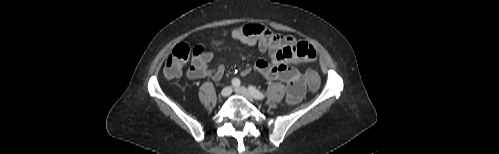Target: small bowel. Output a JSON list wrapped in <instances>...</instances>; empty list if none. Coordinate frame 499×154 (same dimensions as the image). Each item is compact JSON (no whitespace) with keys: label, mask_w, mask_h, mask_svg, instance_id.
<instances>
[{"label":"small bowel","mask_w":499,"mask_h":154,"mask_svg":"<svg viewBox=\"0 0 499 154\" xmlns=\"http://www.w3.org/2000/svg\"><path fill=\"white\" fill-rule=\"evenodd\" d=\"M228 39L254 46L270 55V61L258 60L252 69H244L243 76L257 72L266 80L284 82L287 85L286 99L291 105L297 104L302 99L306 89L305 77L292 64L314 61L317 56L315 48L307 42L297 41L293 36L273 33L261 24H247L222 32L208 42L207 48L203 45L196 46L186 73L187 77L190 79L208 77L219 81L224 75L225 68L223 65L210 68L214 56L213 49Z\"/></svg>","instance_id":"obj_1"}]
</instances>
